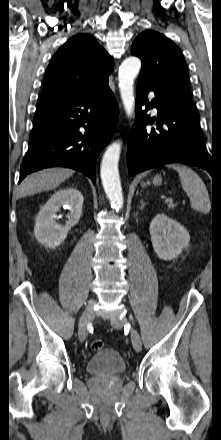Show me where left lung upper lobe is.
<instances>
[{"label": "left lung upper lobe", "instance_id": "obj_1", "mask_svg": "<svg viewBox=\"0 0 221 440\" xmlns=\"http://www.w3.org/2000/svg\"><path fill=\"white\" fill-rule=\"evenodd\" d=\"M131 53L142 61L138 79L193 105L189 96L188 71L178 46L155 31H144L134 40Z\"/></svg>", "mask_w": 221, "mask_h": 440}]
</instances>
